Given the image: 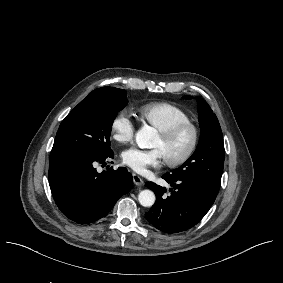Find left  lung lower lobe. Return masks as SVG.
Returning <instances> with one entry per match:
<instances>
[{
  "mask_svg": "<svg viewBox=\"0 0 283 283\" xmlns=\"http://www.w3.org/2000/svg\"><path fill=\"white\" fill-rule=\"evenodd\" d=\"M170 185L171 193L152 182L146 186L156 195V202L145 213L146 219L158 230L166 233L185 231L197 224L208 212L218 193L195 179L162 177Z\"/></svg>",
  "mask_w": 283,
  "mask_h": 283,
  "instance_id": "left-lung-lower-lobe-1",
  "label": "left lung lower lobe"
}]
</instances>
